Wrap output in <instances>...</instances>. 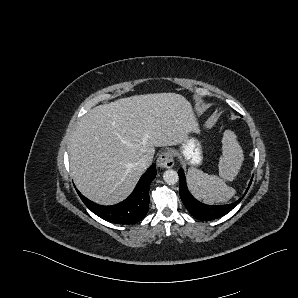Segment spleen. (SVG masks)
<instances>
[{
	"label": "spleen",
	"mask_w": 298,
	"mask_h": 298,
	"mask_svg": "<svg viewBox=\"0 0 298 298\" xmlns=\"http://www.w3.org/2000/svg\"><path fill=\"white\" fill-rule=\"evenodd\" d=\"M221 143L219 176L205 174L194 167L187 169L186 181L191 195L206 205L226 204L236 195V189L228 184L241 173L245 161L244 149L234 130L225 129Z\"/></svg>",
	"instance_id": "3e777b00"
}]
</instances>
